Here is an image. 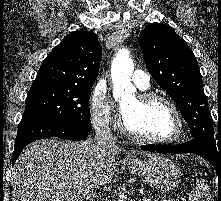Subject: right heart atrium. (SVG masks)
Here are the masks:
<instances>
[{
	"instance_id": "right-heart-atrium-1",
	"label": "right heart atrium",
	"mask_w": 221,
	"mask_h": 201,
	"mask_svg": "<svg viewBox=\"0 0 221 201\" xmlns=\"http://www.w3.org/2000/svg\"><path fill=\"white\" fill-rule=\"evenodd\" d=\"M90 119L93 126L100 131H107L113 125V110L104 91L93 93L90 103Z\"/></svg>"
}]
</instances>
